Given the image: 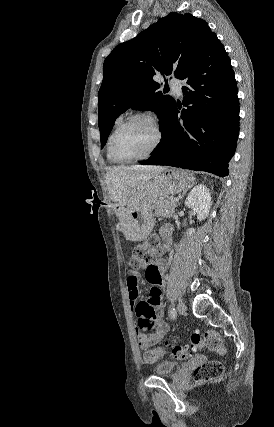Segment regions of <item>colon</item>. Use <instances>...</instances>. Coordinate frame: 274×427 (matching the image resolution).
Returning <instances> with one entry per match:
<instances>
[{"instance_id": "5ec220e1", "label": "colon", "mask_w": 274, "mask_h": 427, "mask_svg": "<svg viewBox=\"0 0 274 427\" xmlns=\"http://www.w3.org/2000/svg\"><path fill=\"white\" fill-rule=\"evenodd\" d=\"M159 251V239L157 236H151L150 239L141 242L128 255L126 260L130 272L140 271L146 266V261H154ZM209 349L219 354L226 353V347L223 345L220 336L214 331L194 332L191 335L189 345H175L169 348L165 347H145L143 363L153 364L155 359H166L169 352L172 357L185 360L188 359L193 351ZM225 373L224 365L217 360H211L195 371V380L197 386L203 382L220 380Z\"/></svg>"}]
</instances>
